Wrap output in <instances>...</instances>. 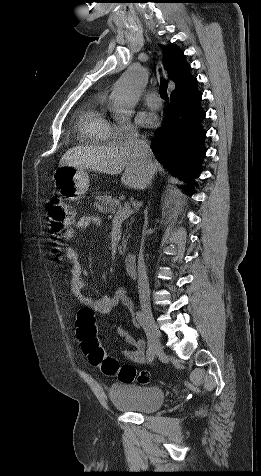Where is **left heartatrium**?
<instances>
[{"label":"left heart atrium","mask_w":261,"mask_h":476,"mask_svg":"<svg viewBox=\"0 0 261 476\" xmlns=\"http://www.w3.org/2000/svg\"><path fill=\"white\" fill-rule=\"evenodd\" d=\"M156 121H157V118L153 113L140 112L137 115L138 124L144 127H151L156 123Z\"/></svg>","instance_id":"1"}]
</instances>
